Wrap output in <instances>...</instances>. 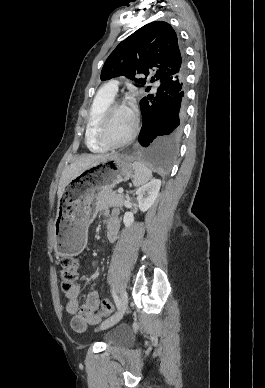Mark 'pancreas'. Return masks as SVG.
Segmentation results:
<instances>
[{"mask_svg": "<svg viewBox=\"0 0 265 388\" xmlns=\"http://www.w3.org/2000/svg\"><path fill=\"white\" fill-rule=\"evenodd\" d=\"M123 200V194L102 190L97 196L96 208H99V210H106V208H121V206H123Z\"/></svg>", "mask_w": 265, "mask_h": 388, "instance_id": "cf45deb5", "label": "pancreas"}]
</instances>
